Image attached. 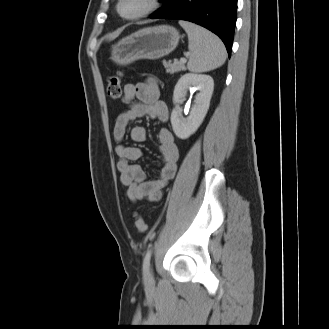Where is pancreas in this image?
<instances>
[{"instance_id":"pancreas-1","label":"pancreas","mask_w":329,"mask_h":329,"mask_svg":"<svg viewBox=\"0 0 329 329\" xmlns=\"http://www.w3.org/2000/svg\"><path fill=\"white\" fill-rule=\"evenodd\" d=\"M164 67L166 69V72L170 74L186 70L185 64L180 61H174L173 63L166 62L164 63Z\"/></svg>"}]
</instances>
